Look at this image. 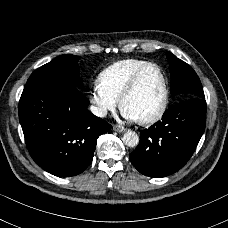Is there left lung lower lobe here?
Instances as JSON below:
<instances>
[{"label": "left lung lower lobe", "mask_w": 228, "mask_h": 228, "mask_svg": "<svg viewBox=\"0 0 228 228\" xmlns=\"http://www.w3.org/2000/svg\"><path fill=\"white\" fill-rule=\"evenodd\" d=\"M206 125V101L189 98L169 108L162 119L140 131L129 158L143 175L161 178L180 170L194 153Z\"/></svg>", "instance_id": "left-lung-lower-lobe-1"}]
</instances>
